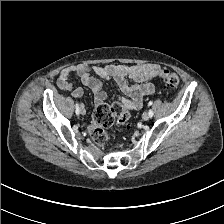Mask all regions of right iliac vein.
Masks as SVG:
<instances>
[{"label": "right iliac vein", "instance_id": "63e3f726", "mask_svg": "<svg viewBox=\"0 0 224 224\" xmlns=\"http://www.w3.org/2000/svg\"><path fill=\"white\" fill-rule=\"evenodd\" d=\"M80 113H81L82 115H84V114L86 113L85 108H84L83 105H81Z\"/></svg>", "mask_w": 224, "mask_h": 224}]
</instances>
